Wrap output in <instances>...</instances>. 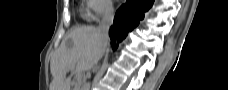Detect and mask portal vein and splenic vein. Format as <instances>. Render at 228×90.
<instances>
[{"instance_id": "portal-vein-and-splenic-vein-1", "label": "portal vein and splenic vein", "mask_w": 228, "mask_h": 90, "mask_svg": "<svg viewBox=\"0 0 228 90\" xmlns=\"http://www.w3.org/2000/svg\"><path fill=\"white\" fill-rule=\"evenodd\" d=\"M76 70L78 71V79H80L81 78V74L80 73H81L82 70L79 67H76Z\"/></svg>"}]
</instances>
